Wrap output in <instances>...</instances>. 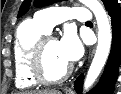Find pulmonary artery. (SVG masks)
I'll use <instances>...</instances> for the list:
<instances>
[{
  "label": "pulmonary artery",
  "mask_w": 121,
  "mask_h": 94,
  "mask_svg": "<svg viewBox=\"0 0 121 94\" xmlns=\"http://www.w3.org/2000/svg\"><path fill=\"white\" fill-rule=\"evenodd\" d=\"M91 19L90 11L81 7H53L40 10L35 14V20L48 32H50L55 25L66 20L88 22L91 21Z\"/></svg>",
  "instance_id": "pulmonary-artery-1"
}]
</instances>
